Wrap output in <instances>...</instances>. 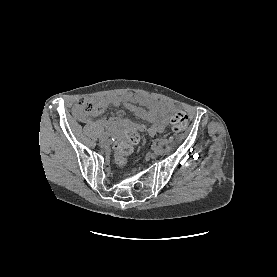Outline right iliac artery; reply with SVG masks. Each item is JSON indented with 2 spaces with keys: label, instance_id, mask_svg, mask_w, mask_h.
Returning <instances> with one entry per match:
<instances>
[{
  "label": "right iliac artery",
  "instance_id": "82829eb1",
  "mask_svg": "<svg viewBox=\"0 0 277 277\" xmlns=\"http://www.w3.org/2000/svg\"><path fill=\"white\" fill-rule=\"evenodd\" d=\"M110 136V133L109 132H103L102 134H101V139H103V138H108Z\"/></svg>",
  "mask_w": 277,
  "mask_h": 277
}]
</instances>
